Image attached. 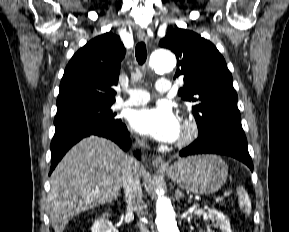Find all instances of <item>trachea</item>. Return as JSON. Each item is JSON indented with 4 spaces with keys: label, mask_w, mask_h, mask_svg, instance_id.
<instances>
[{
    "label": "trachea",
    "mask_w": 289,
    "mask_h": 232,
    "mask_svg": "<svg viewBox=\"0 0 289 232\" xmlns=\"http://www.w3.org/2000/svg\"><path fill=\"white\" fill-rule=\"evenodd\" d=\"M135 56L139 65H143L147 59V50L144 42H139L136 45Z\"/></svg>",
    "instance_id": "3493384b"
}]
</instances>
